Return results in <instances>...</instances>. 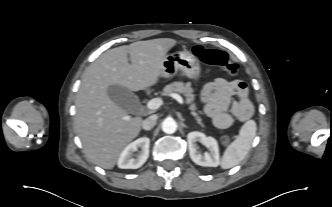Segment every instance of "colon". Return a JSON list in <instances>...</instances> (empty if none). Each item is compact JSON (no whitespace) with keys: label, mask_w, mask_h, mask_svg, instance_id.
<instances>
[{"label":"colon","mask_w":332,"mask_h":207,"mask_svg":"<svg viewBox=\"0 0 332 207\" xmlns=\"http://www.w3.org/2000/svg\"><path fill=\"white\" fill-rule=\"evenodd\" d=\"M193 53L202 62L208 65L218 66L230 76H234L238 73L239 66L232 62L224 51L195 46L193 48ZM221 142L223 144H228L230 142L229 136L223 135L221 137Z\"/></svg>","instance_id":"obj_1"}]
</instances>
